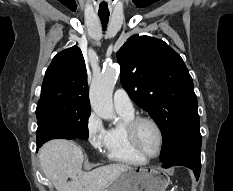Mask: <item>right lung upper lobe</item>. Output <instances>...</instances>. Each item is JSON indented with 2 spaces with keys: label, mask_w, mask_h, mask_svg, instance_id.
Wrapping results in <instances>:
<instances>
[{
  "label": "right lung upper lobe",
  "mask_w": 233,
  "mask_h": 191,
  "mask_svg": "<svg viewBox=\"0 0 233 191\" xmlns=\"http://www.w3.org/2000/svg\"><path fill=\"white\" fill-rule=\"evenodd\" d=\"M38 102L90 109L85 61L80 48L59 52L46 70Z\"/></svg>",
  "instance_id": "cb5924a9"
}]
</instances>
